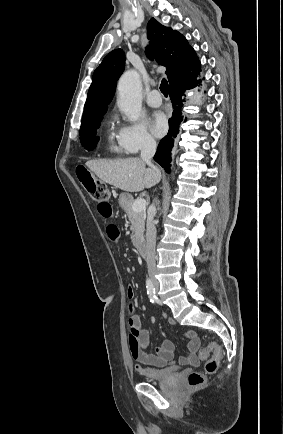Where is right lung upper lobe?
Returning a JSON list of instances; mask_svg holds the SVG:
<instances>
[{"label": "right lung upper lobe", "mask_w": 283, "mask_h": 434, "mask_svg": "<svg viewBox=\"0 0 283 434\" xmlns=\"http://www.w3.org/2000/svg\"><path fill=\"white\" fill-rule=\"evenodd\" d=\"M147 30L150 40L147 55L166 67L165 73L170 86L179 83H195L196 76L201 72L200 61L185 37L163 26L154 18L148 22ZM124 65V52L121 49H115L95 70L84 106L82 125L103 118L114 95L116 81L124 70Z\"/></svg>", "instance_id": "obj_1"}]
</instances>
